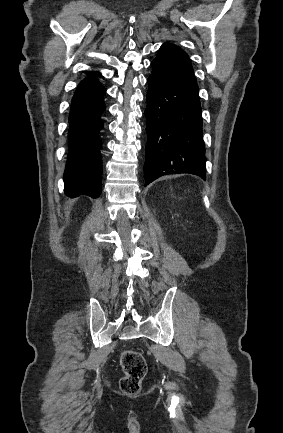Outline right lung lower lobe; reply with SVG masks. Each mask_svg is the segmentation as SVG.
<instances>
[{"mask_svg":"<svg viewBox=\"0 0 283 433\" xmlns=\"http://www.w3.org/2000/svg\"><path fill=\"white\" fill-rule=\"evenodd\" d=\"M97 76L87 77L79 84L69 116V156L64 173L65 194H80L97 198L102 188L101 140L103 128L100 118L105 110V88Z\"/></svg>","mask_w":283,"mask_h":433,"instance_id":"1","label":"right lung lower lobe"}]
</instances>
